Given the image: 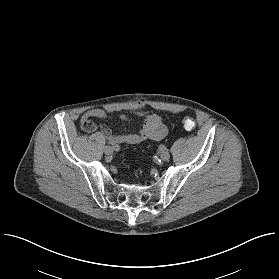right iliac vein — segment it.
Returning <instances> with one entry per match:
<instances>
[{"label": "right iliac vein", "instance_id": "right-iliac-vein-1", "mask_svg": "<svg viewBox=\"0 0 279 279\" xmlns=\"http://www.w3.org/2000/svg\"><path fill=\"white\" fill-rule=\"evenodd\" d=\"M104 152L106 153V154H112L113 153V149H112V147H110V146H106L105 148H104Z\"/></svg>", "mask_w": 279, "mask_h": 279}]
</instances>
